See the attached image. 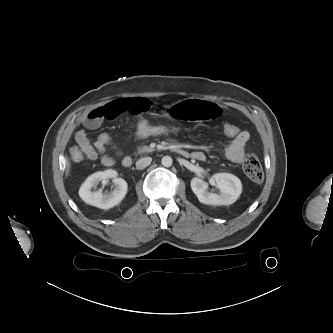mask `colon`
Returning a JSON list of instances; mask_svg holds the SVG:
<instances>
[{
  "mask_svg": "<svg viewBox=\"0 0 333 333\" xmlns=\"http://www.w3.org/2000/svg\"><path fill=\"white\" fill-rule=\"evenodd\" d=\"M181 131L178 123L174 121L161 120V121H140L137 122L132 136L135 139H149L154 137H164L178 134ZM226 136L235 138L239 133V128L232 124L226 123L223 127ZM71 158L75 162L84 160L83 153L76 147H72ZM243 170L246 176L254 182H261L264 177L263 168L258 157L255 154H247L243 161Z\"/></svg>",
  "mask_w": 333,
  "mask_h": 333,
  "instance_id": "5ec220e1",
  "label": "colon"
}]
</instances>
